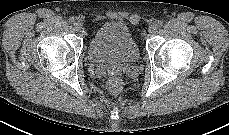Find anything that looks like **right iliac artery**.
Listing matches in <instances>:
<instances>
[{"label":"right iliac artery","mask_w":229,"mask_h":135,"mask_svg":"<svg viewBox=\"0 0 229 135\" xmlns=\"http://www.w3.org/2000/svg\"><path fill=\"white\" fill-rule=\"evenodd\" d=\"M75 22H76V21H75V19H74L73 17L69 19V23H70V24H75Z\"/></svg>","instance_id":"obj_1"}]
</instances>
